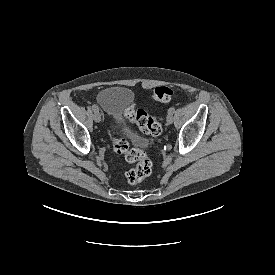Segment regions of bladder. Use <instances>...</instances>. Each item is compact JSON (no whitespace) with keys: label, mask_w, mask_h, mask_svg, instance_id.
<instances>
[{"label":"bladder","mask_w":275,"mask_h":275,"mask_svg":"<svg viewBox=\"0 0 275 275\" xmlns=\"http://www.w3.org/2000/svg\"><path fill=\"white\" fill-rule=\"evenodd\" d=\"M132 97V91L123 86H110L98 93L97 106L107 114L114 131H120L121 116L129 106ZM121 134L126 136L131 144L139 148H146L149 145V141L144 137L128 133L125 130H122Z\"/></svg>","instance_id":"31cf9c89"}]
</instances>
